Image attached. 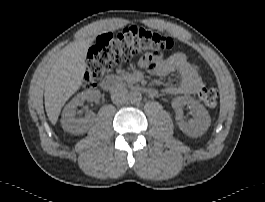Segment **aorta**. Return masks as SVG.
<instances>
[{
    "label": "aorta",
    "mask_w": 265,
    "mask_h": 202,
    "mask_svg": "<svg viewBox=\"0 0 265 202\" xmlns=\"http://www.w3.org/2000/svg\"><path fill=\"white\" fill-rule=\"evenodd\" d=\"M129 102L131 104H139L142 100V95L139 91H132L130 94H129Z\"/></svg>",
    "instance_id": "obj_1"
}]
</instances>
